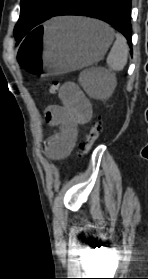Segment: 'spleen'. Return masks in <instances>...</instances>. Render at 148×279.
I'll use <instances>...</instances> for the list:
<instances>
[{
  "mask_svg": "<svg viewBox=\"0 0 148 279\" xmlns=\"http://www.w3.org/2000/svg\"><path fill=\"white\" fill-rule=\"evenodd\" d=\"M116 40L108 54L107 65L110 70L121 71L127 64L129 47L125 37L121 34H115ZM92 71L85 70L81 72L79 82L86 92L95 98H103L112 93L114 84L102 80L91 78Z\"/></svg>",
  "mask_w": 148,
  "mask_h": 279,
  "instance_id": "obj_1",
  "label": "spleen"
}]
</instances>
